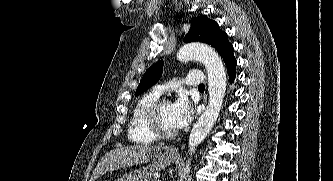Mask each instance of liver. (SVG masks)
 <instances>
[{"mask_svg":"<svg viewBox=\"0 0 333 181\" xmlns=\"http://www.w3.org/2000/svg\"><path fill=\"white\" fill-rule=\"evenodd\" d=\"M161 151L159 147L148 145H133L111 150L98 162L90 181H95L107 172L137 164L148 163L153 158V153Z\"/></svg>","mask_w":333,"mask_h":181,"instance_id":"obj_1","label":"liver"}]
</instances>
